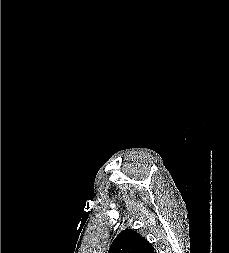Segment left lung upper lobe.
Wrapping results in <instances>:
<instances>
[{
    "mask_svg": "<svg viewBox=\"0 0 229 253\" xmlns=\"http://www.w3.org/2000/svg\"><path fill=\"white\" fill-rule=\"evenodd\" d=\"M108 253H154V249L136 231L125 229L115 238Z\"/></svg>",
    "mask_w": 229,
    "mask_h": 253,
    "instance_id": "obj_1",
    "label": "left lung upper lobe"
}]
</instances>
